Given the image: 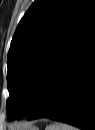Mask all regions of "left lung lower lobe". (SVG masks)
<instances>
[{
    "label": "left lung lower lobe",
    "mask_w": 95,
    "mask_h": 130,
    "mask_svg": "<svg viewBox=\"0 0 95 130\" xmlns=\"http://www.w3.org/2000/svg\"><path fill=\"white\" fill-rule=\"evenodd\" d=\"M50 118L95 129V15L52 68L27 119Z\"/></svg>",
    "instance_id": "0a47b994"
}]
</instances>
